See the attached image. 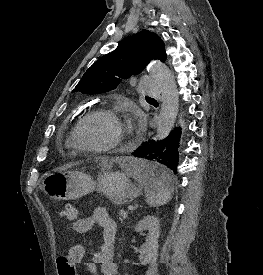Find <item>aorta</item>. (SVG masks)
<instances>
[{"instance_id":"aorta-1","label":"aorta","mask_w":263,"mask_h":275,"mask_svg":"<svg viewBox=\"0 0 263 275\" xmlns=\"http://www.w3.org/2000/svg\"><path fill=\"white\" fill-rule=\"evenodd\" d=\"M149 71L158 83L162 94V104L157 118L156 139L166 138L175 123L179 109V94L172 72L159 60L152 61Z\"/></svg>"}]
</instances>
